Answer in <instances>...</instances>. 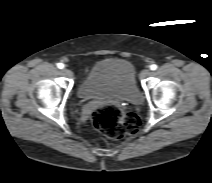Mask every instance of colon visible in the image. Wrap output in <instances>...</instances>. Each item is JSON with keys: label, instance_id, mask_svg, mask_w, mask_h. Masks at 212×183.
Returning a JSON list of instances; mask_svg holds the SVG:
<instances>
[{"label": "colon", "instance_id": "1", "mask_svg": "<svg viewBox=\"0 0 212 183\" xmlns=\"http://www.w3.org/2000/svg\"><path fill=\"white\" fill-rule=\"evenodd\" d=\"M91 122L96 130L113 140L134 135L141 127L140 119L135 113L125 112L111 102L98 106L91 114Z\"/></svg>", "mask_w": 212, "mask_h": 183}]
</instances>
